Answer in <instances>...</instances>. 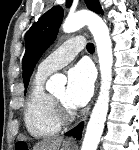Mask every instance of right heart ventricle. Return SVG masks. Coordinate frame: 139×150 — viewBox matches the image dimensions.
<instances>
[{
  "instance_id": "right-heart-ventricle-1",
  "label": "right heart ventricle",
  "mask_w": 139,
  "mask_h": 150,
  "mask_svg": "<svg viewBox=\"0 0 139 150\" xmlns=\"http://www.w3.org/2000/svg\"><path fill=\"white\" fill-rule=\"evenodd\" d=\"M46 77L36 74L25 105V126L34 137L53 135L61 127L53 116L49 94L44 89Z\"/></svg>"
}]
</instances>
